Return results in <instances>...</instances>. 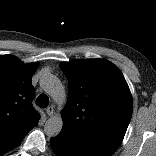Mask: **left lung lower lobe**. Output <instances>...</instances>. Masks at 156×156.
Segmentation results:
<instances>
[{
    "mask_svg": "<svg viewBox=\"0 0 156 156\" xmlns=\"http://www.w3.org/2000/svg\"><path fill=\"white\" fill-rule=\"evenodd\" d=\"M51 147L57 156H111L113 152L94 143L77 139L65 132L51 138Z\"/></svg>",
    "mask_w": 156,
    "mask_h": 156,
    "instance_id": "1",
    "label": "left lung lower lobe"
}]
</instances>
